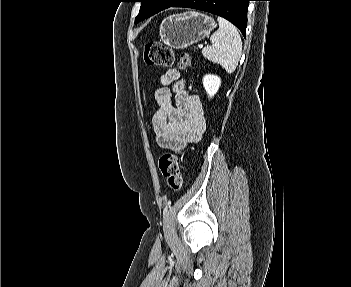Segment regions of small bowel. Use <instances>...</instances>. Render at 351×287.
Segmentation results:
<instances>
[{
  "label": "small bowel",
  "mask_w": 351,
  "mask_h": 287,
  "mask_svg": "<svg viewBox=\"0 0 351 287\" xmlns=\"http://www.w3.org/2000/svg\"><path fill=\"white\" fill-rule=\"evenodd\" d=\"M154 100L157 108L152 124L161 148L180 151L200 138L206 127L203 105L198 95L184 90L178 70L170 69L160 77Z\"/></svg>",
  "instance_id": "c3829d8e"
}]
</instances>
